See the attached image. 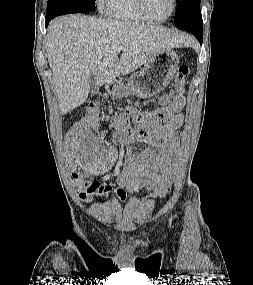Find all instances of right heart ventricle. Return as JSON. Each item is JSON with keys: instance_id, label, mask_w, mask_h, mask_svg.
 Here are the masks:
<instances>
[{"instance_id": "obj_1", "label": "right heart ventricle", "mask_w": 253, "mask_h": 285, "mask_svg": "<svg viewBox=\"0 0 253 285\" xmlns=\"http://www.w3.org/2000/svg\"><path fill=\"white\" fill-rule=\"evenodd\" d=\"M106 13L117 20L148 22L139 9L138 0H103Z\"/></svg>"}]
</instances>
